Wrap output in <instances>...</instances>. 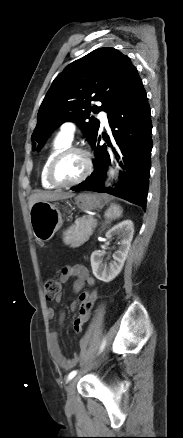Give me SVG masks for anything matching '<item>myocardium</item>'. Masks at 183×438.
Here are the masks:
<instances>
[{"instance_id": "obj_1", "label": "myocardium", "mask_w": 183, "mask_h": 438, "mask_svg": "<svg viewBox=\"0 0 183 438\" xmlns=\"http://www.w3.org/2000/svg\"><path fill=\"white\" fill-rule=\"evenodd\" d=\"M72 153H79L83 156L85 161V167L83 170V173L74 181L69 183H61L55 180L54 178V170L57 165V163L65 156L72 154ZM94 167L93 159L91 157L90 152L83 148L78 146H68L61 151H59L50 161L49 166L47 168V180L55 187V188H69L76 186L82 182H84L92 173Z\"/></svg>"}]
</instances>
